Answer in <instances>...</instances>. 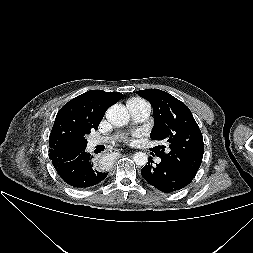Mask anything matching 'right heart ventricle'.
<instances>
[{
	"instance_id": "1",
	"label": "right heart ventricle",
	"mask_w": 253,
	"mask_h": 253,
	"mask_svg": "<svg viewBox=\"0 0 253 253\" xmlns=\"http://www.w3.org/2000/svg\"><path fill=\"white\" fill-rule=\"evenodd\" d=\"M129 101H132V102H145L144 100L140 99V98H133Z\"/></svg>"
}]
</instances>
